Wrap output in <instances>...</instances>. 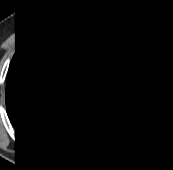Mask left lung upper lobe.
Listing matches in <instances>:
<instances>
[{"instance_id":"obj_1","label":"left lung upper lobe","mask_w":173,"mask_h":170,"mask_svg":"<svg viewBox=\"0 0 173 170\" xmlns=\"http://www.w3.org/2000/svg\"><path fill=\"white\" fill-rule=\"evenodd\" d=\"M118 42L130 48L140 63V83L120 106L121 113L150 114L171 123L173 72L164 56L146 39L124 35Z\"/></svg>"}]
</instances>
